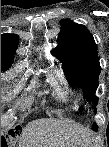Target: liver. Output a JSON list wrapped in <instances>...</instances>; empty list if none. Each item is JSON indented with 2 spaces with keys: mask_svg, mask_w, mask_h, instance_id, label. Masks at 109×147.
I'll return each mask as SVG.
<instances>
[{
  "mask_svg": "<svg viewBox=\"0 0 109 147\" xmlns=\"http://www.w3.org/2000/svg\"><path fill=\"white\" fill-rule=\"evenodd\" d=\"M90 140V132L76 124L38 119L23 128L18 147H87Z\"/></svg>",
  "mask_w": 109,
  "mask_h": 147,
  "instance_id": "liver-1",
  "label": "liver"
}]
</instances>
